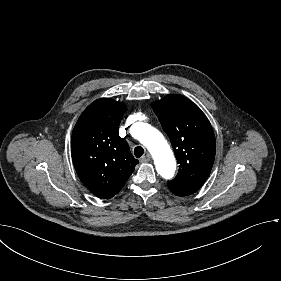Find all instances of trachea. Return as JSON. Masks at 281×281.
<instances>
[{"instance_id":"1","label":"trachea","mask_w":281,"mask_h":281,"mask_svg":"<svg viewBox=\"0 0 281 281\" xmlns=\"http://www.w3.org/2000/svg\"><path fill=\"white\" fill-rule=\"evenodd\" d=\"M134 154L137 158H140L144 154V149L141 146L135 147Z\"/></svg>"}]
</instances>
